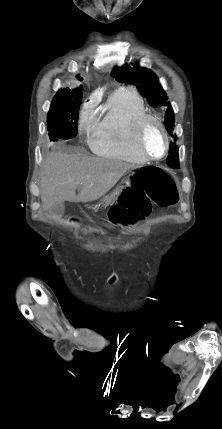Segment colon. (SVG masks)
<instances>
[{
  "instance_id": "colon-1",
  "label": "colon",
  "mask_w": 222,
  "mask_h": 429,
  "mask_svg": "<svg viewBox=\"0 0 222 429\" xmlns=\"http://www.w3.org/2000/svg\"><path fill=\"white\" fill-rule=\"evenodd\" d=\"M178 201L172 177L161 167L143 165L131 177V183L109 210L111 224H133L149 215L153 205L170 207Z\"/></svg>"
}]
</instances>
